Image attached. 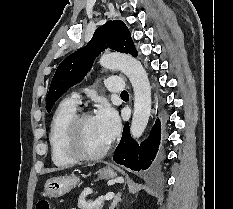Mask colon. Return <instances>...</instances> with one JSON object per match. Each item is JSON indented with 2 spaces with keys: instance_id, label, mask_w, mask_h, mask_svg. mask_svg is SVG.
Masks as SVG:
<instances>
[{
  "instance_id": "colon-1",
  "label": "colon",
  "mask_w": 233,
  "mask_h": 209,
  "mask_svg": "<svg viewBox=\"0 0 233 209\" xmlns=\"http://www.w3.org/2000/svg\"><path fill=\"white\" fill-rule=\"evenodd\" d=\"M36 209H51V205L47 200H40L36 204Z\"/></svg>"
}]
</instances>
